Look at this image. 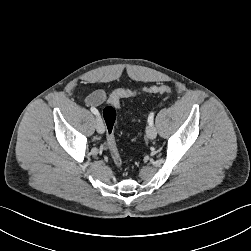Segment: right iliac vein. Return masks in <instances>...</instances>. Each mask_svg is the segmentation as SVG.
<instances>
[{
	"label": "right iliac vein",
	"instance_id": "63e3f726",
	"mask_svg": "<svg viewBox=\"0 0 251 251\" xmlns=\"http://www.w3.org/2000/svg\"><path fill=\"white\" fill-rule=\"evenodd\" d=\"M96 130L100 134H103L105 131V126L101 117H97L96 119Z\"/></svg>",
	"mask_w": 251,
	"mask_h": 251
}]
</instances>
